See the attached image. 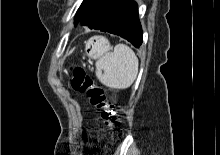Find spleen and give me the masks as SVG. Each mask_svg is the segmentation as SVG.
Returning <instances> with one entry per match:
<instances>
[{
  "mask_svg": "<svg viewBox=\"0 0 220 155\" xmlns=\"http://www.w3.org/2000/svg\"><path fill=\"white\" fill-rule=\"evenodd\" d=\"M139 61L134 51L119 43L113 52L105 53L96 61V77L106 87L123 90L129 88L138 74Z\"/></svg>",
  "mask_w": 220,
  "mask_h": 155,
  "instance_id": "obj_1",
  "label": "spleen"
}]
</instances>
